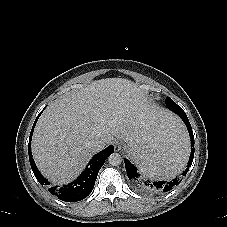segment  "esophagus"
Returning <instances> with one entry per match:
<instances>
[{"label":"esophagus","mask_w":227,"mask_h":227,"mask_svg":"<svg viewBox=\"0 0 227 227\" xmlns=\"http://www.w3.org/2000/svg\"><path fill=\"white\" fill-rule=\"evenodd\" d=\"M114 148H115L116 151H119V150H121V148H122V144H121L120 142H116V143L114 144Z\"/></svg>","instance_id":"esophagus-1"}]
</instances>
